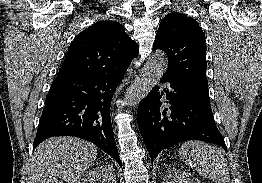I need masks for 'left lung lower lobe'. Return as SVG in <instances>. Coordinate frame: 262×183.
<instances>
[{
	"label": "left lung lower lobe",
	"instance_id": "left-lung-lower-lobe-1",
	"mask_svg": "<svg viewBox=\"0 0 262 183\" xmlns=\"http://www.w3.org/2000/svg\"><path fill=\"white\" fill-rule=\"evenodd\" d=\"M160 82H169L171 90L156 85L140 102L137 111L139 130L151 161L162 150L186 140L214 143L227 151L213 120L208 91L167 72ZM163 94L169 100L167 107L160 101Z\"/></svg>",
	"mask_w": 262,
	"mask_h": 183
}]
</instances>
